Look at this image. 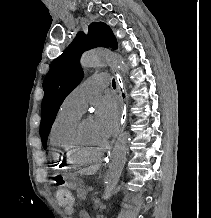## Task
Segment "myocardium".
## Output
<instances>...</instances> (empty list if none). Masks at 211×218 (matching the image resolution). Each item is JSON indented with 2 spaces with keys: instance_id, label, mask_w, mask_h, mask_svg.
<instances>
[{
  "instance_id": "1",
  "label": "myocardium",
  "mask_w": 211,
  "mask_h": 218,
  "mask_svg": "<svg viewBox=\"0 0 211 218\" xmlns=\"http://www.w3.org/2000/svg\"><path fill=\"white\" fill-rule=\"evenodd\" d=\"M84 120H79L76 124L73 133H72V148L73 151L80 157L84 158H100L102 157L110 148L111 143L107 141V143L99 148L94 149L84 143L82 136V124Z\"/></svg>"
}]
</instances>
